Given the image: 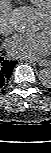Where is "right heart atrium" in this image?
<instances>
[{
	"instance_id": "right-heart-atrium-1",
	"label": "right heart atrium",
	"mask_w": 51,
	"mask_h": 153,
	"mask_svg": "<svg viewBox=\"0 0 51 153\" xmlns=\"http://www.w3.org/2000/svg\"><path fill=\"white\" fill-rule=\"evenodd\" d=\"M13 31L12 10L7 0L0 4V33L9 35Z\"/></svg>"
}]
</instances>
